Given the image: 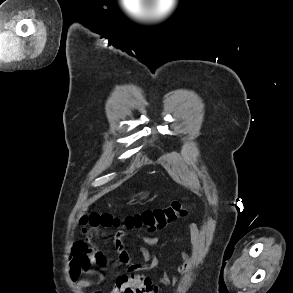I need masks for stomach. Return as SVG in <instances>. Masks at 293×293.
Masks as SVG:
<instances>
[{
	"label": "stomach",
	"instance_id": "obj_1",
	"mask_svg": "<svg viewBox=\"0 0 293 293\" xmlns=\"http://www.w3.org/2000/svg\"><path fill=\"white\" fill-rule=\"evenodd\" d=\"M147 196H148V194L147 195H144L143 198H146Z\"/></svg>",
	"mask_w": 293,
	"mask_h": 293
}]
</instances>
